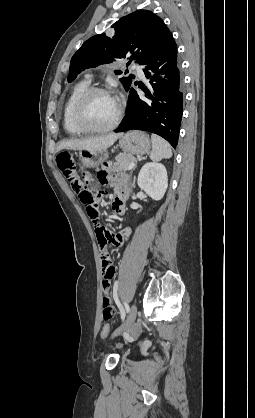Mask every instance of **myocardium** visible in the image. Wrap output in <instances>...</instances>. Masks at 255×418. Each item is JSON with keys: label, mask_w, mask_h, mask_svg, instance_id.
I'll list each match as a JSON object with an SVG mask.
<instances>
[{"label": "myocardium", "mask_w": 255, "mask_h": 418, "mask_svg": "<svg viewBox=\"0 0 255 418\" xmlns=\"http://www.w3.org/2000/svg\"><path fill=\"white\" fill-rule=\"evenodd\" d=\"M107 94L110 95L109 91L102 87L92 86L87 88L77 99L74 111H73V121L74 123L82 129L84 132L89 133H104L113 130L119 123L122 115V109L119 105H117V112L113 119V121L103 127H96L88 123L86 119V106L88 100L95 94Z\"/></svg>", "instance_id": "1"}]
</instances>
